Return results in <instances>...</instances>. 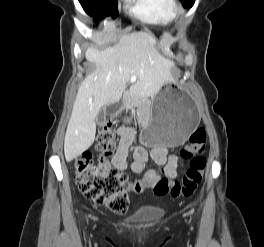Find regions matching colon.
I'll use <instances>...</instances> for the list:
<instances>
[{"instance_id":"colon-1","label":"colon","mask_w":264,"mask_h":247,"mask_svg":"<svg viewBox=\"0 0 264 247\" xmlns=\"http://www.w3.org/2000/svg\"><path fill=\"white\" fill-rule=\"evenodd\" d=\"M205 143V129H196L180 152L181 159L190 161L182 180L170 181L161 177L154 184L153 192L158 196L190 197L200 184L206 167V159L201 155ZM95 147L99 152L96 160L90 152L76 158L75 182L78 189L96 204L116 213H125L130 204L129 194H139L143 188L139 182L131 183L124 173L109 164V157L115 150V132L110 121L99 128Z\"/></svg>"}]
</instances>
